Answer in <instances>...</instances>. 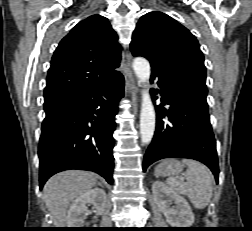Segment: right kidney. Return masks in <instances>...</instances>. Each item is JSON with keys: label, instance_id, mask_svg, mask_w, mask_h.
<instances>
[{"label": "right kidney", "instance_id": "obj_1", "mask_svg": "<svg viewBox=\"0 0 252 231\" xmlns=\"http://www.w3.org/2000/svg\"><path fill=\"white\" fill-rule=\"evenodd\" d=\"M91 203L94 206L96 215H102L106 206V193L99 188L91 189L78 198L70 205L66 222L69 228H83L84 221L89 214L87 204Z\"/></svg>", "mask_w": 252, "mask_h": 231}]
</instances>
